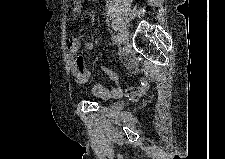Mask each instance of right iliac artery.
Wrapping results in <instances>:
<instances>
[{
  "label": "right iliac artery",
  "instance_id": "right-iliac-artery-1",
  "mask_svg": "<svg viewBox=\"0 0 225 159\" xmlns=\"http://www.w3.org/2000/svg\"><path fill=\"white\" fill-rule=\"evenodd\" d=\"M113 43L119 45L121 43L120 37L118 35L112 36Z\"/></svg>",
  "mask_w": 225,
  "mask_h": 159
}]
</instances>
